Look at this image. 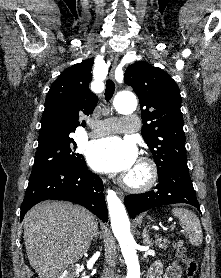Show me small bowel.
Masks as SVG:
<instances>
[{
	"instance_id": "c3829d8e",
	"label": "small bowel",
	"mask_w": 221,
	"mask_h": 278,
	"mask_svg": "<svg viewBox=\"0 0 221 278\" xmlns=\"http://www.w3.org/2000/svg\"><path fill=\"white\" fill-rule=\"evenodd\" d=\"M148 278H181V267L177 262H172L163 272L159 262L152 265Z\"/></svg>"
}]
</instances>
